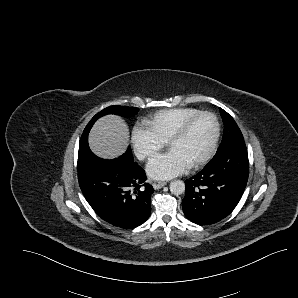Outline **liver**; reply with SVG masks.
Instances as JSON below:
<instances>
[{"mask_svg": "<svg viewBox=\"0 0 298 298\" xmlns=\"http://www.w3.org/2000/svg\"><path fill=\"white\" fill-rule=\"evenodd\" d=\"M130 131L126 121L117 114L99 117L88 133V146L99 158L113 160L122 156L129 147Z\"/></svg>", "mask_w": 298, "mask_h": 298, "instance_id": "liver-1", "label": "liver"}]
</instances>
